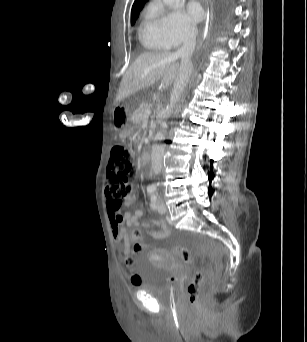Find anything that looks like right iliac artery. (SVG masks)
Wrapping results in <instances>:
<instances>
[{
  "mask_svg": "<svg viewBox=\"0 0 307 342\" xmlns=\"http://www.w3.org/2000/svg\"><path fill=\"white\" fill-rule=\"evenodd\" d=\"M154 191H155V188H154V187L148 188V193H149V194H153Z\"/></svg>",
  "mask_w": 307,
  "mask_h": 342,
  "instance_id": "82829eb1",
  "label": "right iliac artery"
}]
</instances>
